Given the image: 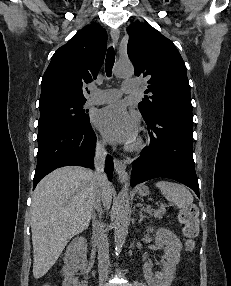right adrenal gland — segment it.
<instances>
[{"mask_svg": "<svg viewBox=\"0 0 231 286\" xmlns=\"http://www.w3.org/2000/svg\"><path fill=\"white\" fill-rule=\"evenodd\" d=\"M98 213H99V219L101 218V213H102V211H101V209L99 208V210H98Z\"/></svg>", "mask_w": 231, "mask_h": 286, "instance_id": "2a0ac1e0", "label": "right adrenal gland"}]
</instances>
